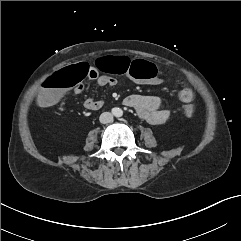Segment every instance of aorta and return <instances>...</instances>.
I'll return each mask as SVG.
<instances>
[{
    "label": "aorta",
    "instance_id": "762f6f07",
    "mask_svg": "<svg viewBox=\"0 0 241 241\" xmlns=\"http://www.w3.org/2000/svg\"><path fill=\"white\" fill-rule=\"evenodd\" d=\"M113 113H114V115H115L116 117H121V116L123 115V111H122V109H120V108H115V109L113 110Z\"/></svg>",
    "mask_w": 241,
    "mask_h": 241
}]
</instances>
